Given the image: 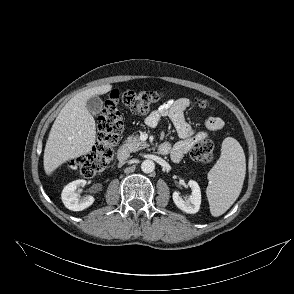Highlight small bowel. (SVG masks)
Wrapping results in <instances>:
<instances>
[{"mask_svg":"<svg viewBox=\"0 0 294 294\" xmlns=\"http://www.w3.org/2000/svg\"><path fill=\"white\" fill-rule=\"evenodd\" d=\"M191 105L187 98L169 100L159 106L146 117V124L149 127H156L163 117H168L173 123L180 141L174 145L166 142L170 147V156L174 162H179L183 156L191 149L193 143L208 136L207 132L220 131L224 127V122L219 117H209L204 124V130L197 131L185 120L184 112ZM168 152V153H169Z\"/></svg>","mask_w":294,"mask_h":294,"instance_id":"small-bowel-1","label":"small bowel"}]
</instances>
